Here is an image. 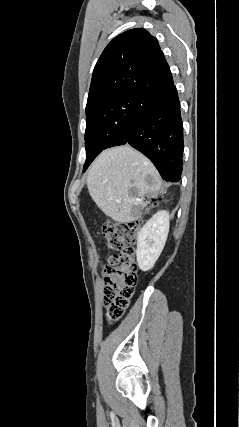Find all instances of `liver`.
Returning a JSON list of instances; mask_svg holds the SVG:
<instances>
[{"label": "liver", "mask_w": 239, "mask_h": 427, "mask_svg": "<svg viewBox=\"0 0 239 427\" xmlns=\"http://www.w3.org/2000/svg\"><path fill=\"white\" fill-rule=\"evenodd\" d=\"M87 187L106 216L127 223L137 219L146 206L144 197H155L162 190V180L145 156L124 145L107 149L95 159Z\"/></svg>", "instance_id": "obj_1"}]
</instances>
